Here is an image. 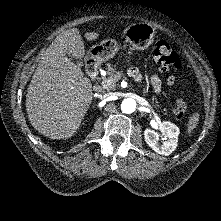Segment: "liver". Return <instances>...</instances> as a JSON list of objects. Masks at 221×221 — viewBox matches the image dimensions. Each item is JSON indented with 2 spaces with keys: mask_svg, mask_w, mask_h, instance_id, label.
I'll use <instances>...</instances> for the list:
<instances>
[{
  "mask_svg": "<svg viewBox=\"0 0 221 221\" xmlns=\"http://www.w3.org/2000/svg\"><path fill=\"white\" fill-rule=\"evenodd\" d=\"M98 33L85 38L96 40ZM81 59L84 42L77 28L59 34L38 63L26 94V111L32 126L51 139H67L79 129L92 102V84L67 56Z\"/></svg>",
  "mask_w": 221,
  "mask_h": 221,
  "instance_id": "6515ba94",
  "label": "liver"
}]
</instances>
